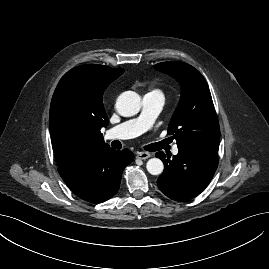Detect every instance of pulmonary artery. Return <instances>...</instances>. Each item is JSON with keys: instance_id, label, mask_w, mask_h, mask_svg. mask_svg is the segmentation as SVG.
<instances>
[{"instance_id": "obj_1", "label": "pulmonary artery", "mask_w": 269, "mask_h": 269, "mask_svg": "<svg viewBox=\"0 0 269 269\" xmlns=\"http://www.w3.org/2000/svg\"><path fill=\"white\" fill-rule=\"evenodd\" d=\"M164 105V96L159 91H152L144 95L142 99V111L134 119L127 120L112 129L107 134V139H128L141 135L146 132ZM178 148L173 149V153H178Z\"/></svg>"}]
</instances>
